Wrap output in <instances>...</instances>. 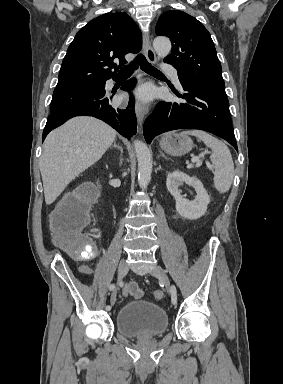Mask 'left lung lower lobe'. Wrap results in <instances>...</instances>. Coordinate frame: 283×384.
Segmentation results:
<instances>
[{
	"label": "left lung lower lobe",
	"mask_w": 283,
	"mask_h": 384,
	"mask_svg": "<svg viewBox=\"0 0 283 384\" xmlns=\"http://www.w3.org/2000/svg\"><path fill=\"white\" fill-rule=\"evenodd\" d=\"M186 103L160 102L144 123L148 143L175 129H200L228 141L238 151L229 111L225 85L203 83L178 76Z\"/></svg>",
	"instance_id": "left-lung-lower-lobe-1"
}]
</instances>
